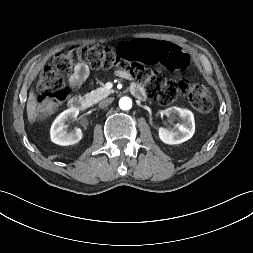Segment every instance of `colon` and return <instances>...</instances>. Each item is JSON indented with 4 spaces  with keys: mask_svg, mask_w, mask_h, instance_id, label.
Here are the masks:
<instances>
[{
    "mask_svg": "<svg viewBox=\"0 0 253 253\" xmlns=\"http://www.w3.org/2000/svg\"><path fill=\"white\" fill-rule=\"evenodd\" d=\"M78 63L92 68L117 66L143 84L148 94L162 104H170L179 97L186 96L189 104L198 112H209L213 106L211 93L202 83L189 78L169 79L159 71L141 66L161 67L179 75L188 73L192 67L190 56L182 47L148 37L141 41L125 40L118 48L85 45L54 55L41 73L38 84L40 117L51 114L66 99L64 78Z\"/></svg>",
    "mask_w": 253,
    "mask_h": 253,
    "instance_id": "colon-1",
    "label": "colon"
}]
</instances>
